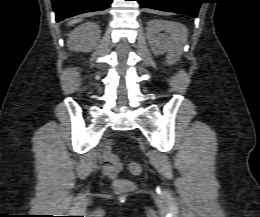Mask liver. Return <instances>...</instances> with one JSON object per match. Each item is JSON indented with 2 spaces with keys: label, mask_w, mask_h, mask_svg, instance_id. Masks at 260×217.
Masks as SVG:
<instances>
[{
  "label": "liver",
  "mask_w": 260,
  "mask_h": 217,
  "mask_svg": "<svg viewBox=\"0 0 260 217\" xmlns=\"http://www.w3.org/2000/svg\"><path fill=\"white\" fill-rule=\"evenodd\" d=\"M80 21H81V19L75 18V19L69 21V22H68V25H69V26H72V25H74V24H76V23H79Z\"/></svg>",
  "instance_id": "1"
}]
</instances>
